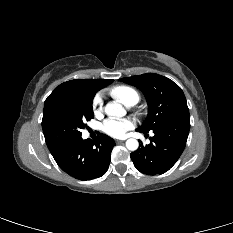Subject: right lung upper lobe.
Masks as SVG:
<instances>
[{"instance_id":"obj_1","label":"right lung upper lobe","mask_w":233,"mask_h":233,"mask_svg":"<svg viewBox=\"0 0 233 233\" xmlns=\"http://www.w3.org/2000/svg\"><path fill=\"white\" fill-rule=\"evenodd\" d=\"M112 82L113 80L111 79H75L60 84L45 100L42 124L49 111L59 102L79 93L95 94L98 90Z\"/></svg>"}]
</instances>
